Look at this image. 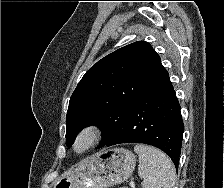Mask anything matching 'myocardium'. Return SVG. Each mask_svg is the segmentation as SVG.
<instances>
[{
	"label": "myocardium",
	"mask_w": 224,
	"mask_h": 188,
	"mask_svg": "<svg viewBox=\"0 0 224 188\" xmlns=\"http://www.w3.org/2000/svg\"><path fill=\"white\" fill-rule=\"evenodd\" d=\"M103 129L96 123H90L83 126L75 135L72 150L76 154H83L91 150L102 138ZM84 142L82 147H79L80 142Z\"/></svg>",
	"instance_id": "myocardium-1"
}]
</instances>
